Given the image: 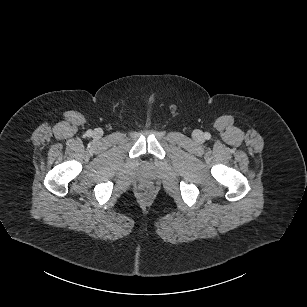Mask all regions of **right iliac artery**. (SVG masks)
<instances>
[{"instance_id": "obj_1", "label": "right iliac artery", "mask_w": 307, "mask_h": 307, "mask_svg": "<svg viewBox=\"0 0 307 307\" xmlns=\"http://www.w3.org/2000/svg\"><path fill=\"white\" fill-rule=\"evenodd\" d=\"M87 135L91 136L92 135V131H88Z\"/></svg>"}]
</instances>
